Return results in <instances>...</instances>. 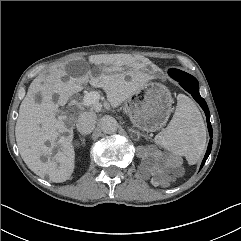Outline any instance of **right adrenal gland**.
<instances>
[{"label": "right adrenal gland", "instance_id": "1", "mask_svg": "<svg viewBox=\"0 0 241 241\" xmlns=\"http://www.w3.org/2000/svg\"><path fill=\"white\" fill-rule=\"evenodd\" d=\"M81 135L84 136V137L86 136L85 134H81Z\"/></svg>", "mask_w": 241, "mask_h": 241}]
</instances>
